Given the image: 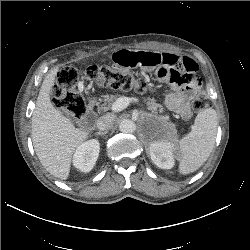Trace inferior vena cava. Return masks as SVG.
<instances>
[{"label":"inferior vena cava","instance_id":"obj_1","mask_svg":"<svg viewBox=\"0 0 250 250\" xmlns=\"http://www.w3.org/2000/svg\"><path fill=\"white\" fill-rule=\"evenodd\" d=\"M114 119V115H103L97 121V128L101 131L108 130L112 126Z\"/></svg>","mask_w":250,"mask_h":250}]
</instances>
